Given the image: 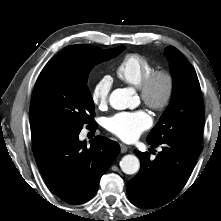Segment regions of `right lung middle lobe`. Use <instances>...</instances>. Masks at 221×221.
<instances>
[{
	"mask_svg": "<svg viewBox=\"0 0 221 221\" xmlns=\"http://www.w3.org/2000/svg\"><path fill=\"white\" fill-rule=\"evenodd\" d=\"M125 49L103 50L89 45L67 46L40 73L30 104L31 131L44 128L81 130L95 123L94 102L87 87L88 74L100 62L116 57Z\"/></svg>",
	"mask_w": 221,
	"mask_h": 221,
	"instance_id": "right-lung-middle-lobe-1",
	"label": "right lung middle lobe"
}]
</instances>
